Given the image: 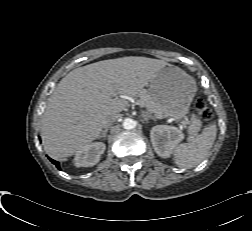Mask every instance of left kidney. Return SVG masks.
Listing matches in <instances>:
<instances>
[{
	"mask_svg": "<svg viewBox=\"0 0 252 231\" xmlns=\"http://www.w3.org/2000/svg\"><path fill=\"white\" fill-rule=\"evenodd\" d=\"M153 148L158 156L168 158L174 147L183 140V133L174 126L156 125L150 131Z\"/></svg>",
	"mask_w": 252,
	"mask_h": 231,
	"instance_id": "1",
	"label": "left kidney"
}]
</instances>
